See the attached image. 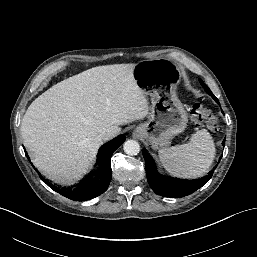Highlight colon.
Masks as SVG:
<instances>
[{
  "label": "colon",
  "instance_id": "obj_1",
  "mask_svg": "<svg viewBox=\"0 0 257 257\" xmlns=\"http://www.w3.org/2000/svg\"><path fill=\"white\" fill-rule=\"evenodd\" d=\"M192 120L201 126H206L213 131L219 130V125L211 112L200 103H195L191 110Z\"/></svg>",
  "mask_w": 257,
  "mask_h": 257
}]
</instances>
